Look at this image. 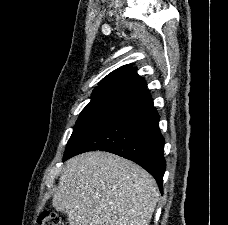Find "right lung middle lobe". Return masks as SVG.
Instances as JSON below:
<instances>
[{
	"label": "right lung middle lobe",
	"mask_w": 228,
	"mask_h": 225,
	"mask_svg": "<svg viewBox=\"0 0 228 225\" xmlns=\"http://www.w3.org/2000/svg\"><path fill=\"white\" fill-rule=\"evenodd\" d=\"M142 90L123 84L95 88L92 99L81 112L67 143L66 157L78 143L97 125L136 97Z\"/></svg>",
	"instance_id": "dd1d6c3e"
}]
</instances>
